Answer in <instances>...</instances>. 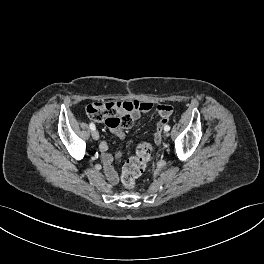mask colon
Instances as JSON below:
<instances>
[{"label":"colon","mask_w":264,"mask_h":264,"mask_svg":"<svg viewBox=\"0 0 264 264\" xmlns=\"http://www.w3.org/2000/svg\"><path fill=\"white\" fill-rule=\"evenodd\" d=\"M133 107L121 102H94L86 107L87 115L97 121L103 122L112 129H125L133 124ZM166 120L160 119L157 123L155 133L156 143L162 140V130ZM151 157V146L146 143H140L135 151L123 166L121 180L125 188H133L136 180L143 173L147 162Z\"/></svg>","instance_id":"1"}]
</instances>
